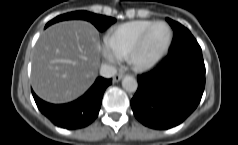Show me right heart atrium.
I'll return each instance as SVG.
<instances>
[{"label":"right heart atrium","instance_id":"1","mask_svg":"<svg viewBox=\"0 0 238 145\" xmlns=\"http://www.w3.org/2000/svg\"><path fill=\"white\" fill-rule=\"evenodd\" d=\"M104 57H105V59L107 60V61H109V62H114V56L112 55V53L111 52H109V51H106L105 53H104Z\"/></svg>","mask_w":238,"mask_h":145}]
</instances>
